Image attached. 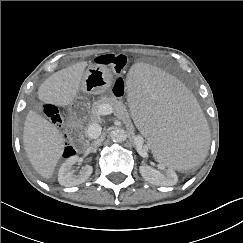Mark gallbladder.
Returning <instances> with one entry per match:
<instances>
[{
  "instance_id": "gallbladder-1",
  "label": "gallbladder",
  "mask_w": 243,
  "mask_h": 243,
  "mask_svg": "<svg viewBox=\"0 0 243 243\" xmlns=\"http://www.w3.org/2000/svg\"><path fill=\"white\" fill-rule=\"evenodd\" d=\"M41 109H42V106L40 104L35 105V111H41Z\"/></svg>"
}]
</instances>
